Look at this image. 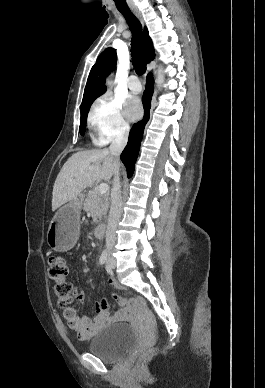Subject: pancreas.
<instances>
[{
  "label": "pancreas",
  "mask_w": 265,
  "mask_h": 388,
  "mask_svg": "<svg viewBox=\"0 0 265 388\" xmlns=\"http://www.w3.org/2000/svg\"><path fill=\"white\" fill-rule=\"evenodd\" d=\"M109 208V194H100L98 188L90 190L84 204L83 210L90 212L93 222H100L106 216Z\"/></svg>",
  "instance_id": "1"
}]
</instances>
